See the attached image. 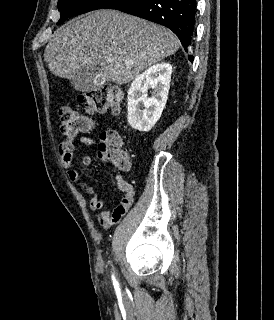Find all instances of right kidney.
<instances>
[{"label": "right kidney", "mask_w": 274, "mask_h": 320, "mask_svg": "<svg viewBox=\"0 0 274 320\" xmlns=\"http://www.w3.org/2000/svg\"><path fill=\"white\" fill-rule=\"evenodd\" d=\"M171 74V64L162 62L151 66L132 82L127 92V120L133 130L149 132L158 122L167 102ZM148 90H153L151 98H148Z\"/></svg>", "instance_id": "ca27d5eb"}]
</instances>
